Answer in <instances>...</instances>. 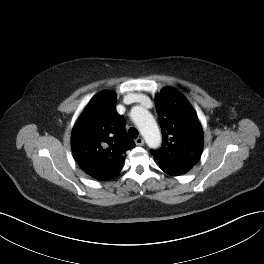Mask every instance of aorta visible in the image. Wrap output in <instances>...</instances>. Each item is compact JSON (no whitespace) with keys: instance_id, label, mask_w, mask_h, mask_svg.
Masks as SVG:
<instances>
[{"instance_id":"obj_1","label":"aorta","mask_w":264,"mask_h":264,"mask_svg":"<svg viewBox=\"0 0 264 264\" xmlns=\"http://www.w3.org/2000/svg\"><path fill=\"white\" fill-rule=\"evenodd\" d=\"M131 115L146 143L151 148H157L161 144V133L151 113L141 106H136Z\"/></svg>"}]
</instances>
